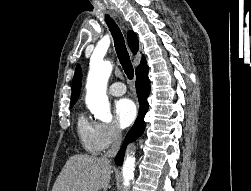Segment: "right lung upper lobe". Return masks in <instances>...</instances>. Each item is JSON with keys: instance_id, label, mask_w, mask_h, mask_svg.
<instances>
[{"instance_id": "1", "label": "right lung upper lobe", "mask_w": 251, "mask_h": 191, "mask_svg": "<svg viewBox=\"0 0 251 191\" xmlns=\"http://www.w3.org/2000/svg\"><path fill=\"white\" fill-rule=\"evenodd\" d=\"M127 41L131 51L134 54H136L139 49V43L136 34L132 31H129L127 36ZM148 69L149 68L146 64V60L144 57H142L140 65L136 68V78L148 75ZM81 77H82L81 67L80 65H78L75 69V74L72 81V94H71L70 104H75L80 95Z\"/></svg>"}]
</instances>
